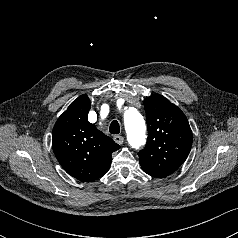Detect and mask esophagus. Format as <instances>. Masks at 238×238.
Returning a JSON list of instances; mask_svg holds the SVG:
<instances>
[{
	"mask_svg": "<svg viewBox=\"0 0 238 238\" xmlns=\"http://www.w3.org/2000/svg\"><path fill=\"white\" fill-rule=\"evenodd\" d=\"M113 139L119 145H122L124 142V137L121 135H115Z\"/></svg>",
	"mask_w": 238,
	"mask_h": 238,
	"instance_id": "34e87169",
	"label": "esophagus"
}]
</instances>
